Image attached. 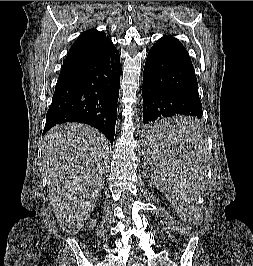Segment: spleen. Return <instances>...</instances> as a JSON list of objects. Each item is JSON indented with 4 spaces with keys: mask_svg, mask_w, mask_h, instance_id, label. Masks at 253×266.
<instances>
[{
    "mask_svg": "<svg viewBox=\"0 0 253 266\" xmlns=\"http://www.w3.org/2000/svg\"><path fill=\"white\" fill-rule=\"evenodd\" d=\"M201 123L193 115L157 117V123H144L141 139L144 168L149 169L157 187H165L167 204L184 216L186 224L200 218L199 202L204 185L206 141H200Z\"/></svg>",
    "mask_w": 253,
    "mask_h": 266,
    "instance_id": "spleen-1",
    "label": "spleen"
}]
</instances>
